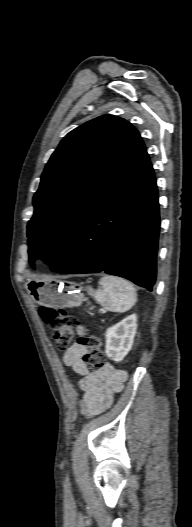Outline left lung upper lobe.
I'll use <instances>...</instances> for the list:
<instances>
[{
	"mask_svg": "<svg viewBox=\"0 0 192 527\" xmlns=\"http://www.w3.org/2000/svg\"><path fill=\"white\" fill-rule=\"evenodd\" d=\"M145 145L126 120L103 115L77 127L52 154L33 198L29 260L55 265L93 210Z\"/></svg>",
	"mask_w": 192,
	"mask_h": 527,
	"instance_id": "5c2ea615",
	"label": "left lung upper lobe"
}]
</instances>
